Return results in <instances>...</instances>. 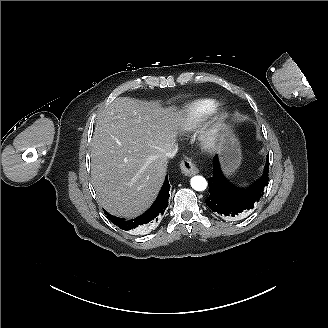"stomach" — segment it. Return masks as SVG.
Segmentation results:
<instances>
[{
    "instance_id": "1",
    "label": "stomach",
    "mask_w": 328,
    "mask_h": 328,
    "mask_svg": "<svg viewBox=\"0 0 328 328\" xmlns=\"http://www.w3.org/2000/svg\"><path fill=\"white\" fill-rule=\"evenodd\" d=\"M215 137L223 169L227 175H231L238 168L242 159L238 140L227 126H222Z\"/></svg>"
}]
</instances>
